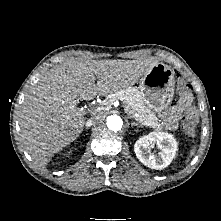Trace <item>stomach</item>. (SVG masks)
<instances>
[{"instance_id":"stomach-1","label":"stomach","mask_w":221,"mask_h":221,"mask_svg":"<svg viewBox=\"0 0 221 221\" xmlns=\"http://www.w3.org/2000/svg\"><path fill=\"white\" fill-rule=\"evenodd\" d=\"M174 90V71L163 63H157L149 69L140 79L138 87L142 103L156 113L170 106Z\"/></svg>"}]
</instances>
